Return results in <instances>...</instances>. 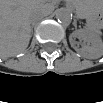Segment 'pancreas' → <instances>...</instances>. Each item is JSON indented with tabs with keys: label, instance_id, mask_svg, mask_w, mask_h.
<instances>
[{
	"label": "pancreas",
	"instance_id": "pancreas-1",
	"mask_svg": "<svg viewBox=\"0 0 103 103\" xmlns=\"http://www.w3.org/2000/svg\"><path fill=\"white\" fill-rule=\"evenodd\" d=\"M78 12H79V13L81 14V16L84 17V18H88V16H89L88 13L85 12L84 10H79Z\"/></svg>",
	"mask_w": 103,
	"mask_h": 103
}]
</instances>
